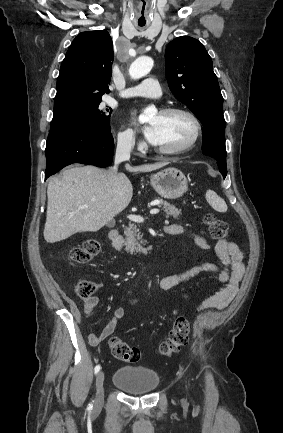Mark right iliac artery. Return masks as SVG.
<instances>
[{
    "instance_id": "right-iliac-artery-1",
    "label": "right iliac artery",
    "mask_w": 283,
    "mask_h": 433,
    "mask_svg": "<svg viewBox=\"0 0 283 433\" xmlns=\"http://www.w3.org/2000/svg\"><path fill=\"white\" fill-rule=\"evenodd\" d=\"M100 365H97L95 368H94V371H95V374H97L99 371H100ZM88 409H92V404H89V406H88Z\"/></svg>"
}]
</instances>
